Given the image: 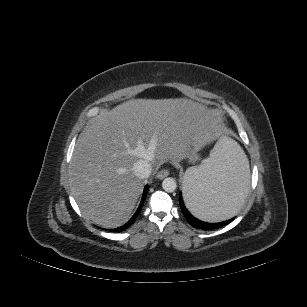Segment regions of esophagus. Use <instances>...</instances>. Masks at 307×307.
Returning <instances> with one entry per match:
<instances>
[{
    "instance_id": "1",
    "label": "esophagus",
    "mask_w": 307,
    "mask_h": 307,
    "mask_svg": "<svg viewBox=\"0 0 307 307\" xmlns=\"http://www.w3.org/2000/svg\"><path fill=\"white\" fill-rule=\"evenodd\" d=\"M169 175V171L167 169H162L161 171H159L156 175V177L158 179H163L165 177H167Z\"/></svg>"
}]
</instances>
